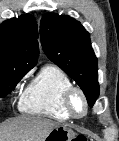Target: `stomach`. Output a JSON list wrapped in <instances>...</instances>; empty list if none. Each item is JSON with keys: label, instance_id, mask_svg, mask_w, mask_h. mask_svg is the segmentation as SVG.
I'll return each mask as SVG.
<instances>
[{"label": "stomach", "instance_id": "1", "mask_svg": "<svg viewBox=\"0 0 119 141\" xmlns=\"http://www.w3.org/2000/svg\"><path fill=\"white\" fill-rule=\"evenodd\" d=\"M73 139H75L74 131L65 125H60L50 131L44 141H72Z\"/></svg>", "mask_w": 119, "mask_h": 141}]
</instances>
